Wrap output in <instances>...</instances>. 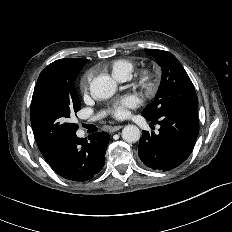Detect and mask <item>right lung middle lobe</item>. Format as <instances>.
Masks as SVG:
<instances>
[{
	"label": "right lung middle lobe",
	"instance_id": "obj_1",
	"mask_svg": "<svg viewBox=\"0 0 232 232\" xmlns=\"http://www.w3.org/2000/svg\"><path fill=\"white\" fill-rule=\"evenodd\" d=\"M86 59H63L49 64L39 75L31 102V125L42 154L76 134L70 117L81 109L74 82Z\"/></svg>",
	"mask_w": 232,
	"mask_h": 232
}]
</instances>
